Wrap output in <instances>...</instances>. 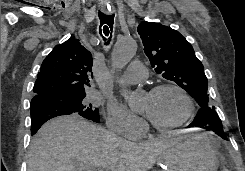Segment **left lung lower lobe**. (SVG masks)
I'll return each instance as SVG.
<instances>
[{"label": "left lung lower lobe", "mask_w": 245, "mask_h": 171, "mask_svg": "<svg viewBox=\"0 0 245 171\" xmlns=\"http://www.w3.org/2000/svg\"><path fill=\"white\" fill-rule=\"evenodd\" d=\"M189 127H200L207 130L214 131L218 136L227 140V137L223 131L222 122L215 112V108H203L200 109L195 116L193 122L189 124Z\"/></svg>", "instance_id": "1"}]
</instances>
